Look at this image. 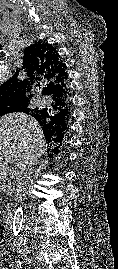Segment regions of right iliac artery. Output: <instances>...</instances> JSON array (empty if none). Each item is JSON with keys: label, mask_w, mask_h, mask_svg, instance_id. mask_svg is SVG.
<instances>
[{"label": "right iliac artery", "mask_w": 118, "mask_h": 269, "mask_svg": "<svg viewBox=\"0 0 118 269\" xmlns=\"http://www.w3.org/2000/svg\"><path fill=\"white\" fill-rule=\"evenodd\" d=\"M21 265H22V263L20 261H15L14 268L15 269H21Z\"/></svg>", "instance_id": "right-iliac-artery-1"}]
</instances>
